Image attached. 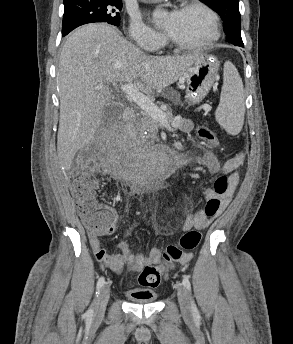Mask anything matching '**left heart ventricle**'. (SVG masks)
<instances>
[{"label":"left heart ventricle","instance_id":"obj_1","mask_svg":"<svg viewBox=\"0 0 293 344\" xmlns=\"http://www.w3.org/2000/svg\"><path fill=\"white\" fill-rule=\"evenodd\" d=\"M167 34L175 40L185 43L202 42L211 34V21L208 15L200 9L175 12Z\"/></svg>","mask_w":293,"mask_h":344}]
</instances>
